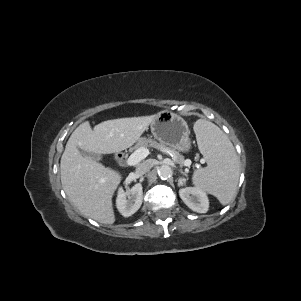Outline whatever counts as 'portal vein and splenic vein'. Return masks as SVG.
Wrapping results in <instances>:
<instances>
[{"mask_svg": "<svg viewBox=\"0 0 301 301\" xmlns=\"http://www.w3.org/2000/svg\"><path fill=\"white\" fill-rule=\"evenodd\" d=\"M150 154L149 149L145 147H141L133 152L129 158L127 159L128 166H134L146 158Z\"/></svg>", "mask_w": 301, "mask_h": 301, "instance_id": "obj_1", "label": "portal vein and splenic vein"}]
</instances>
